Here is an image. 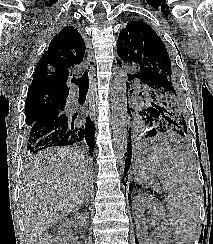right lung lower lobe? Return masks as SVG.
<instances>
[{"instance_id":"1","label":"right lung lower lobe","mask_w":213,"mask_h":244,"mask_svg":"<svg viewBox=\"0 0 213 244\" xmlns=\"http://www.w3.org/2000/svg\"><path fill=\"white\" fill-rule=\"evenodd\" d=\"M77 114L56 111L35 122L26 133L27 153L34 154L54 146H68L85 141L92 155L95 128L88 117L85 124L78 122Z\"/></svg>"}]
</instances>
